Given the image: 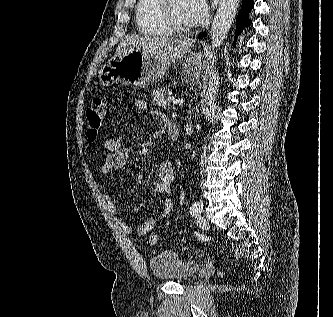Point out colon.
<instances>
[{"label": "colon", "mask_w": 333, "mask_h": 317, "mask_svg": "<svg viewBox=\"0 0 333 317\" xmlns=\"http://www.w3.org/2000/svg\"><path fill=\"white\" fill-rule=\"evenodd\" d=\"M106 113L107 105L102 98H94L89 104L87 108V136L91 142L96 140ZM149 242L153 246L157 245L159 242L158 235L152 234L149 238Z\"/></svg>", "instance_id": "obj_1"}]
</instances>
